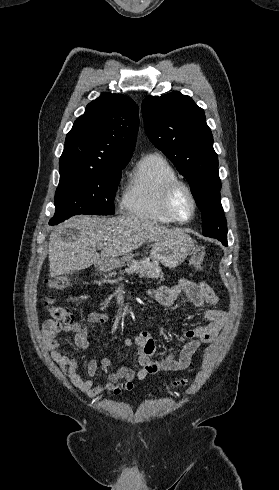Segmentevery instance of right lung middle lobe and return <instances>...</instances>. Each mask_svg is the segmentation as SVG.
<instances>
[{
  "mask_svg": "<svg viewBox=\"0 0 279 490\" xmlns=\"http://www.w3.org/2000/svg\"><path fill=\"white\" fill-rule=\"evenodd\" d=\"M126 165L60 168L56 210L49 224L56 225L78 214H114L113 201Z\"/></svg>",
  "mask_w": 279,
  "mask_h": 490,
  "instance_id": "right-lung-middle-lobe-1",
  "label": "right lung middle lobe"
}]
</instances>
